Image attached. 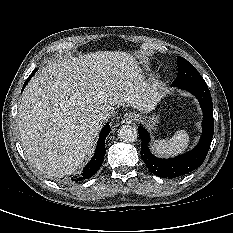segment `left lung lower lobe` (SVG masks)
Masks as SVG:
<instances>
[{"mask_svg": "<svg viewBox=\"0 0 233 233\" xmlns=\"http://www.w3.org/2000/svg\"><path fill=\"white\" fill-rule=\"evenodd\" d=\"M194 94L203 111V132L198 145L190 152L172 159H159L148 148L149 133L143 126L138 127L141 142V157L148 169L162 178H175L187 174L201 166L208 153L214 133L213 104L206 83L182 84L175 86Z\"/></svg>", "mask_w": 233, "mask_h": 233, "instance_id": "1", "label": "left lung lower lobe"}]
</instances>
